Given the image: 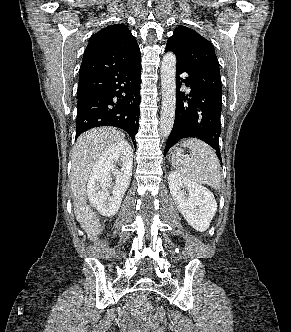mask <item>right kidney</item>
<instances>
[{"instance_id":"obj_1","label":"right kidney","mask_w":291,"mask_h":332,"mask_svg":"<svg viewBox=\"0 0 291 332\" xmlns=\"http://www.w3.org/2000/svg\"><path fill=\"white\" fill-rule=\"evenodd\" d=\"M132 156L127 142L115 143L101 153L90 172L87 184L89 201L103 216L112 217L120 208L131 181ZM111 174L116 177L115 186L112 185ZM108 188H112V196Z\"/></svg>"}]
</instances>
